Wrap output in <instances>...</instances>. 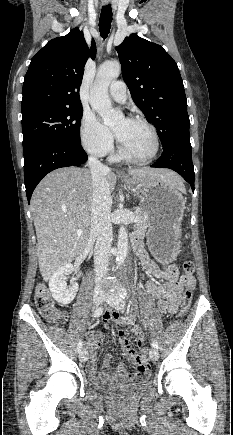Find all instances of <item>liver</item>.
<instances>
[{
    "instance_id": "liver-1",
    "label": "liver",
    "mask_w": 233,
    "mask_h": 435,
    "mask_svg": "<svg viewBox=\"0 0 233 435\" xmlns=\"http://www.w3.org/2000/svg\"><path fill=\"white\" fill-rule=\"evenodd\" d=\"M128 173L137 180L161 179L184 190L180 176L170 170L143 168ZM106 180L113 192L116 175L109 171ZM92 199V177L86 168L56 169L34 190L30 207L37 235L39 269L45 281L85 249L91 226ZM78 230L82 231L81 235H77Z\"/></svg>"
}]
</instances>
